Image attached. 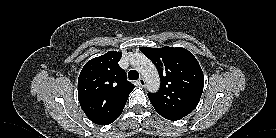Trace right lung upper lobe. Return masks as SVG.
I'll list each match as a JSON object with an SVG mask.
<instances>
[{
	"mask_svg": "<svg viewBox=\"0 0 276 138\" xmlns=\"http://www.w3.org/2000/svg\"><path fill=\"white\" fill-rule=\"evenodd\" d=\"M121 52L109 51L88 61L78 79L79 103L94 123L108 125L122 113L134 85L118 62Z\"/></svg>",
	"mask_w": 276,
	"mask_h": 138,
	"instance_id": "cb5924a9",
	"label": "right lung upper lobe"
}]
</instances>
